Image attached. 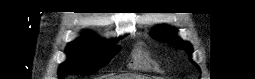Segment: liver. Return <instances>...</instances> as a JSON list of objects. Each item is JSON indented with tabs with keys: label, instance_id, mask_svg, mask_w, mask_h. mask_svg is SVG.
I'll list each match as a JSON object with an SVG mask.
<instances>
[{
	"label": "liver",
	"instance_id": "1",
	"mask_svg": "<svg viewBox=\"0 0 255 79\" xmlns=\"http://www.w3.org/2000/svg\"><path fill=\"white\" fill-rule=\"evenodd\" d=\"M106 79H140V76H137V75H123V76L108 77Z\"/></svg>",
	"mask_w": 255,
	"mask_h": 79
}]
</instances>
